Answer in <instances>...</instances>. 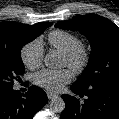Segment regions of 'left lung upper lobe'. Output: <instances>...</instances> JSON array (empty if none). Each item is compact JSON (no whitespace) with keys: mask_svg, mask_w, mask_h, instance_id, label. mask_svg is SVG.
Returning <instances> with one entry per match:
<instances>
[{"mask_svg":"<svg viewBox=\"0 0 119 119\" xmlns=\"http://www.w3.org/2000/svg\"><path fill=\"white\" fill-rule=\"evenodd\" d=\"M56 27L79 31L90 41L89 63L74 83L81 88L94 85L119 86V27L95 14L60 21Z\"/></svg>","mask_w":119,"mask_h":119,"instance_id":"obj_1","label":"left lung upper lobe"}]
</instances>
